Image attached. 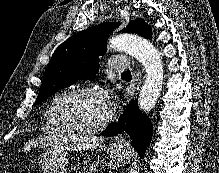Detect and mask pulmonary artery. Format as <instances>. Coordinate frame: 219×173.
Segmentation results:
<instances>
[{
  "mask_svg": "<svg viewBox=\"0 0 219 173\" xmlns=\"http://www.w3.org/2000/svg\"><path fill=\"white\" fill-rule=\"evenodd\" d=\"M108 66L113 71H126L130 68V62L128 58L114 56L109 59Z\"/></svg>",
  "mask_w": 219,
  "mask_h": 173,
  "instance_id": "obj_1",
  "label": "pulmonary artery"
}]
</instances>
